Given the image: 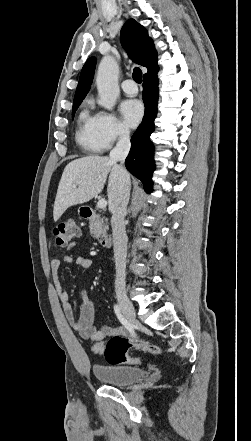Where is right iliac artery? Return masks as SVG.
Returning a JSON list of instances; mask_svg holds the SVG:
<instances>
[{
  "instance_id": "82829eb1",
  "label": "right iliac artery",
  "mask_w": 251,
  "mask_h": 441,
  "mask_svg": "<svg viewBox=\"0 0 251 441\" xmlns=\"http://www.w3.org/2000/svg\"><path fill=\"white\" fill-rule=\"evenodd\" d=\"M114 312L119 319V321L122 323V325L130 332L131 336H135L134 329L130 322L124 317V315L121 312L120 306L118 304L114 305Z\"/></svg>"
}]
</instances>
